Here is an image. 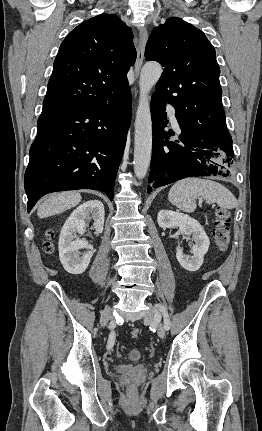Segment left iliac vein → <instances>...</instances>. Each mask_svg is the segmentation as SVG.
<instances>
[{
  "instance_id": "left-iliac-vein-1",
  "label": "left iliac vein",
  "mask_w": 262,
  "mask_h": 431,
  "mask_svg": "<svg viewBox=\"0 0 262 431\" xmlns=\"http://www.w3.org/2000/svg\"><path fill=\"white\" fill-rule=\"evenodd\" d=\"M159 312L153 307H149L144 313V320L148 323L157 324V334L160 338L165 337V328L162 324L158 323Z\"/></svg>"
}]
</instances>
